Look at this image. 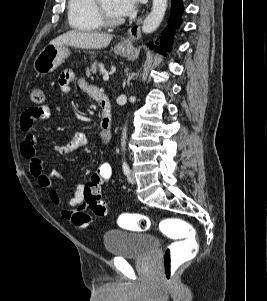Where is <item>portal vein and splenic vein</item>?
Returning <instances> with one entry per match:
<instances>
[{"mask_svg": "<svg viewBox=\"0 0 267 301\" xmlns=\"http://www.w3.org/2000/svg\"><path fill=\"white\" fill-rule=\"evenodd\" d=\"M103 80H104V81H108V80H109V73H105V74H104Z\"/></svg>", "mask_w": 267, "mask_h": 301, "instance_id": "obj_1", "label": "portal vein and splenic vein"}]
</instances>
